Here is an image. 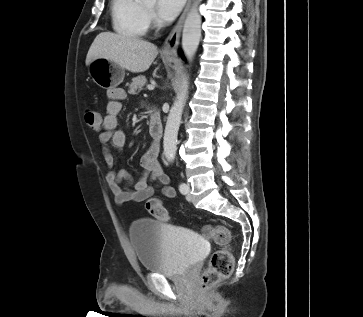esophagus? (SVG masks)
Listing matches in <instances>:
<instances>
[{
    "mask_svg": "<svg viewBox=\"0 0 363 317\" xmlns=\"http://www.w3.org/2000/svg\"><path fill=\"white\" fill-rule=\"evenodd\" d=\"M191 4V0L187 1L186 7L180 16L178 22L173 27L172 31L168 35V37L165 40L163 49H162V55L165 57H171L174 58L177 56V49L180 42L181 32L183 28V24L185 21V17L187 15V12L189 10Z\"/></svg>",
    "mask_w": 363,
    "mask_h": 317,
    "instance_id": "obj_1",
    "label": "esophagus"
}]
</instances>
